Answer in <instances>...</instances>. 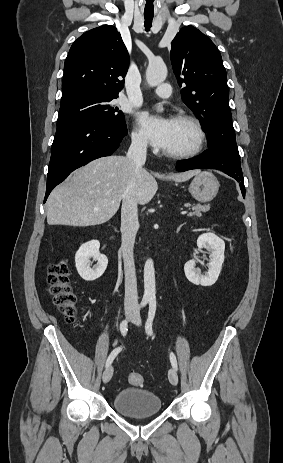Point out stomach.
Returning <instances> with one entry per match:
<instances>
[{
  "label": "stomach",
  "mask_w": 283,
  "mask_h": 463,
  "mask_svg": "<svg viewBox=\"0 0 283 463\" xmlns=\"http://www.w3.org/2000/svg\"><path fill=\"white\" fill-rule=\"evenodd\" d=\"M217 178L209 171H200L189 185L190 194L199 202H209L219 190Z\"/></svg>",
  "instance_id": "stomach-1"
}]
</instances>
